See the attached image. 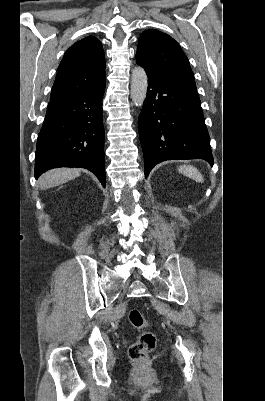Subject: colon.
Returning a JSON list of instances; mask_svg holds the SVG:
<instances>
[{"label":"colon","mask_w":265,"mask_h":401,"mask_svg":"<svg viewBox=\"0 0 265 401\" xmlns=\"http://www.w3.org/2000/svg\"><path fill=\"white\" fill-rule=\"evenodd\" d=\"M129 321L136 328H144L147 321L137 309L130 311ZM156 336L153 332H143L129 348V356L136 362L144 361L156 346Z\"/></svg>","instance_id":"5ec220e1"}]
</instances>
